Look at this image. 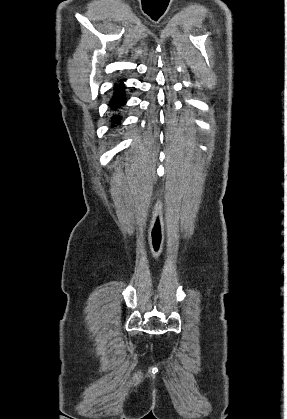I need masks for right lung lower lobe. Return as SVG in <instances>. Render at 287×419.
Segmentation results:
<instances>
[{
  "label": "right lung lower lobe",
  "mask_w": 287,
  "mask_h": 419,
  "mask_svg": "<svg viewBox=\"0 0 287 419\" xmlns=\"http://www.w3.org/2000/svg\"><path fill=\"white\" fill-rule=\"evenodd\" d=\"M124 80H119L118 83L114 84L112 89V97L109 101L110 108V119L109 123L111 126V131H114L117 128H120L122 122L121 110L126 104V93L125 86L123 84Z\"/></svg>",
  "instance_id": "98d812e1"
}]
</instances>
